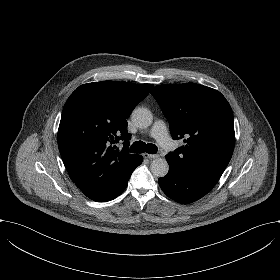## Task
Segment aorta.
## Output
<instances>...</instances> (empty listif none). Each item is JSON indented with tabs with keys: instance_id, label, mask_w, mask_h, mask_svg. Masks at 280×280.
<instances>
[{
	"instance_id": "1",
	"label": "aorta",
	"mask_w": 280,
	"mask_h": 280,
	"mask_svg": "<svg viewBox=\"0 0 280 280\" xmlns=\"http://www.w3.org/2000/svg\"><path fill=\"white\" fill-rule=\"evenodd\" d=\"M132 121L139 128H147L152 124L153 115L146 108H136L132 112ZM150 171L155 177H164L169 171V165L163 158H156L150 165Z\"/></svg>"
}]
</instances>
